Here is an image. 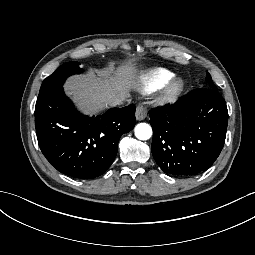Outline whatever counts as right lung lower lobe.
I'll list each match as a JSON object with an SVG mask.
<instances>
[{
    "label": "right lung lower lobe",
    "instance_id": "obj_1",
    "mask_svg": "<svg viewBox=\"0 0 255 255\" xmlns=\"http://www.w3.org/2000/svg\"><path fill=\"white\" fill-rule=\"evenodd\" d=\"M135 105L88 117L75 110L63 88L38 98L35 127L40 149L59 172L80 179L104 174L122 134L135 126Z\"/></svg>",
    "mask_w": 255,
    "mask_h": 255
}]
</instances>
